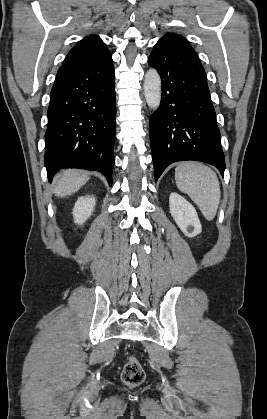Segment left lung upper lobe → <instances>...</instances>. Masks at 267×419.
<instances>
[{
    "instance_id": "left-lung-upper-lobe-1",
    "label": "left lung upper lobe",
    "mask_w": 267,
    "mask_h": 419,
    "mask_svg": "<svg viewBox=\"0 0 267 419\" xmlns=\"http://www.w3.org/2000/svg\"><path fill=\"white\" fill-rule=\"evenodd\" d=\"M158 42H167L170 44L180 45L195 52L194 49L190 46L189 42L183 36H180L178 34L167 33Z\"/></svg>"
}]
</instances>
